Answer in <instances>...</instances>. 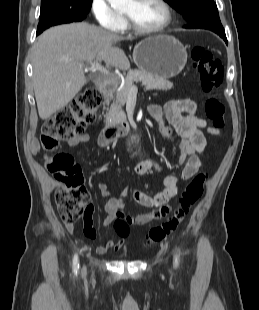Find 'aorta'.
I'll return each instance as SVG.
<instances>
[{
	"label": "aorta",
	"mask_w": 259,
	"mask_h": 310,
	"mask_svg": "<svg viewBox=\"0 0 259 310\" xmlns=\"http://www.w3.org/2000/svg\"><path fill=\"white\" fill-rule=\"evenodd\" d=\"M111 7L115 10L122 9L125 7L131 0H107Z\"/></svg>",
	"instance_id": "obj_1"
}]
</instances>
